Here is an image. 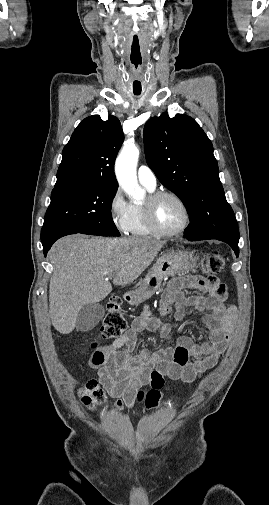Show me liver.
Wrapping results in <instances>:
<instances>
[{"mask_svg": "<svg viewBox=\"0 0 269 505\" xmlns=\"http://www.w3.org/2000/svg\"><path fill=\"white\" fill-rule=\"evenodd\" d=\"M162 242L150 238H89L70 235L59 239L49 251L53 274L49 285L52 325L62 334L76 327L80 309L102 301L113 284L124 286L136 280L153 262Z\"/></svg>", "mask_w": 269, "mask_h": 505, "instance_id": "1", "label": "liver"}]
</instances>
